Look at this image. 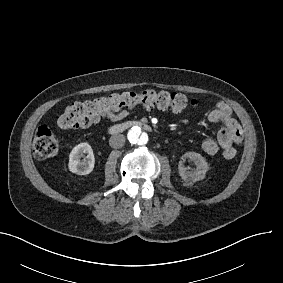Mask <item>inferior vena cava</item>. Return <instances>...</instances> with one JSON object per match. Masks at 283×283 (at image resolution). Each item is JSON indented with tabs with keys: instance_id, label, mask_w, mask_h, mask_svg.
<instances>
[{
	"instance_id": "1",
	"label": "inferior vena cava",
	"mask_w": 283,
	"mask_h": 283,
	"mask_svg": "<svg viewBox=\"0 0 283 283\" xmlns=\"http://www.w3.org/2000/svg\"><path fill=\"white\" fill-rule=\"evenodd\" d=\"M125 143V136L123 134H114L109 139V145L114 149L123 147Z\"/></svg>"
}]
</instances>
